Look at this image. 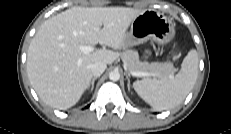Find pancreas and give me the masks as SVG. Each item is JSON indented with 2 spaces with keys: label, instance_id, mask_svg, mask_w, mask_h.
Wrapping results in <instances>:
<instances>
[{
  "label": "pancreas",
  "instance_id": "obj_1",
  "mask_svg": "<svg viewBox=\"0 0 231 134\" xmlns=\"http://www.w3.org/2000/svg\"><path fill=\"white\" fill-rule=\"evenodd\" d=\"M121 59L128 72H148L158 77H167L175 72L171 62H142L137 51L125 50L121 53Z\"/></svg>",
  "mask_w": 231,
  "mask_h": 134
}]
</instances>
